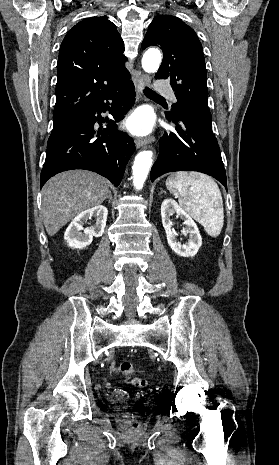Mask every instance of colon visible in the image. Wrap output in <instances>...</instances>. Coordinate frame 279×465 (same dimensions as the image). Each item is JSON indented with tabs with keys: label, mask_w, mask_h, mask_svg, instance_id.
Segmentation results:
<instances>
[{
	"label": "colon",
	"mask_w": 279,
	"mask_h": 465,
	"mask_svg": "<svg viewBox=\"0 0 279 465\" xmlns=\"http://www.w3.org/2000/svg\"><path fill=\"white\" fill-rule=\"evenodd\" d=\"M120 370L122 372V374L127 377L128 379H130L131 383L135 386H139V387H143V386H146L148 384V382L143 379V378H133V374L135 372L134 370V367L133 365L128 362V361H124L121 363L120 365ZM128 425L130 427L131 430H135L138 426V423H137V420L131 416L128 420Z\"/></svg>",
	"instance_id": "5ec220e1"
}]
</instances>
